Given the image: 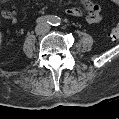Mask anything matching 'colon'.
I'll return each instance as SVG.
<instances>
[{
	"mask_svg": "<svg viewBox=\"0 0 119 119\" xmlns=\"http://www.w3.org/2000/svg\"><path fill=\"white\" fill-rule=\"evenodd\" d=\"M108 36L112 40H117L119 38V27L114 25L110 28Z\"/></svg>",
	"mask_w": 119,
	"mask_h": 119,
	"instance_id": "5ec220e1",
	"label": "colon"
}]
</instances>
